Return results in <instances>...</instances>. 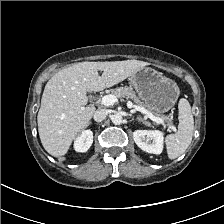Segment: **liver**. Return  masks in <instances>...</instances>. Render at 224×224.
<instances>
[{
  "mask_svg": "<svg viewBox=\"0 0 224 224\" xmlns=\"http://www.w3.org/2000/svg\"><path fill=\"white\" fill-rule=\"evenodd\" d=\"M148 64L139 60L85 61L52 76L44 88L37 116L44 149L54 157L64 156L96 111L94 106H86L87 92L112 87ZM98 71H103L101 76Z\"/></svg>",
  "mask_w": 224,
  "mask_h": 224,
  "instance_id": "obj_1",
  "label": "liver"
}]
</instances>
